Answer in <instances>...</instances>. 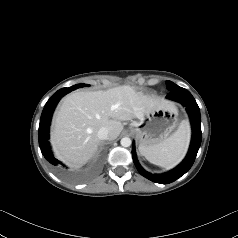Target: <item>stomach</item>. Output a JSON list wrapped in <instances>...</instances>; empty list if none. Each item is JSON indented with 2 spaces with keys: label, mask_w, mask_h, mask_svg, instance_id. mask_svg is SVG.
<instances>
[{
  "label": "stomach",
  "mask_w": 238,
  "mask_h": 238,
  "mask_svg": "<svg viewBox=\"0 0 238 238\" xmlns=\"http://www.w3.org/2000/svg\"><path fill=\"white\" fill-rule=\"evenodd\" d=\"M178 126V110L170 104L146 113L130 124L140 149L157 145L167 139Z\"/></svg>",
  "instance_id": "1"
}]
</instances>
